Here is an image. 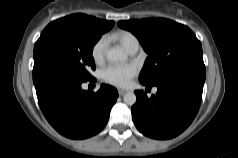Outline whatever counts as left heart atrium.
I'll list each match as a JSON object with an SVG mask.
<instances>
[{"instance_id":"39dd6f15","label":"left heart atrium","mask_w":238,"mask_h":158,"mask_svg":"<svg viewBox=\"0 0 238 158\" xmlns=\"http://www.w3.org/2000/svg\"><path fill=\"white\" fill-rule=\"evenodd\" d=\"M137 72V66L132 63L111 64L103 70L102 75L107 83L118 87H125Z\"/></svg>"}]
</instances>
